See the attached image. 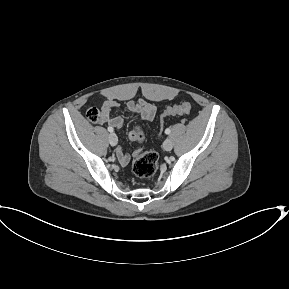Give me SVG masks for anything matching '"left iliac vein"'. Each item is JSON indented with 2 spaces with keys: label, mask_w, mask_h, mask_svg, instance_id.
<instances>
[{
  "label": "left iliac vein",
  "mask_w": 289,
  "mask_h": 289,
  "mask_svg": "<svg viewBox=\"0 0 289 289\" xmlns=\"http://www.w3.org/2000/svg\"><path fill=\"white\" fill-rule=\"evenodd\" d=\"M163 148L166 150V151H170L172 150L173 148V142L171 139L167 138L164 143H163Z\"/></svg>",
  "instance_id": "obj_1"
}]
</instances>
